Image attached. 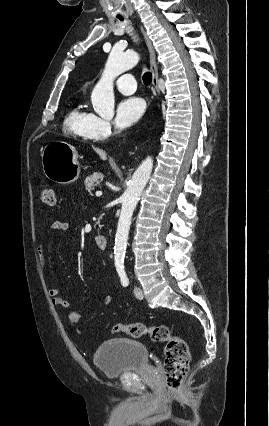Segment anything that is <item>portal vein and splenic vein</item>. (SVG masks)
I'll use <instances>...</instances> for the list:
<instances>
[{
	"label": "portal vein and splenic vein",
	"instance_id": "obj_1",
	"mask_svg": "<svg viewBox=\"0 0 269 426\" xmlns=\"http://www.w3.org/2000/svg\"><path fill=\"white\" fill-rule=\"evenodd\" d=\"M102 195V192L101 191H97L96 192V196H101Z\"/></svg>",
	"mask_w": 269,
	"mask_h": 426
}]
</instances>
